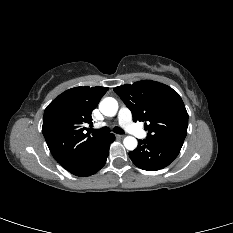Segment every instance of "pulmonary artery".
I'll list each match as a JSON object with an SVG mask.
<instances>
[{
	"instance_id": "pulmonary-artery-1",
	"label": "pulmonary artery",
	"mask_w": 233,
	"mask_h": 233,
	"mask_svg": "<svg viewBox=\"0 0 233 233\" xmlns=\"http://www.w3.org/2000/svg\"><path fill=\"white\" fill-rule=\"evenodd\" d=\"M118 122L127 132L140 138L145 136L144 131L133 123L132 114L128 108L122 107L120 109L118 113Z\"/></svg>"
}]
</instances>
